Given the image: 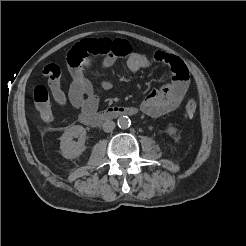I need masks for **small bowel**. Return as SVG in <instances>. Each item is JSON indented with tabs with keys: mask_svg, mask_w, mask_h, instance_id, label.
I'll list each match as a JSON object with an SVG mask.
<instances>
[{
	"mask_svg": "<svg viewBox=\"0 0 246 246\" xmlns=\"http://www.w3.org/2000/svg\"><path fill=\"white\" fill-rule=\"evenodd\" d=\"M101 57V67L107 70L118 58H126L127 66L132 72L149 69L153 66L150 59L133 51L129 42L122 39H86L69 51L67 56L71 83L68 95L60 84L61 69L56 64H48L43 74L48 78V87L55 102L61 106L70 105L82 113L94 112L99 106V96L88 78L93 59ZM154 60L164 63L170 69L168 80L159 90H153L145 96L140 110L152 117H159L174 111L185 98L189 88V74L184 62L172 54L156 51ZM101 87L108 90L112 87L107 80Z\"/></svg>",
	"mask_w": 246,
	"mask_h": 246,
	"instance_id": "obj_1",
	"label": "small bowel"
}]
</instances>
